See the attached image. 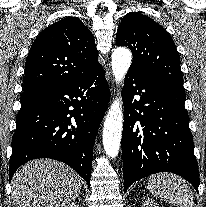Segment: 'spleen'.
<instances>
[{"label":"spleen","instance_id":"spleen-1","mask_svg":"<svg viewBox=\"0 0 206 207\" xmlns=\"http://www.w3.org/2000/svg\"><path fill=\"white\" fill-rule=\"evenodd\" d=\"M150 193L161 201L177 207H193L194 196L189 185L182 178L169 173L155 174L149 177Z\"/></svg>","mask_w":206,"mask_h":207}]
</instances>
